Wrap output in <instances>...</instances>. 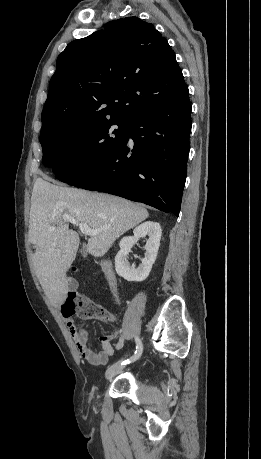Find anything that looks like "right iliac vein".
<instances>
[{"mask_svg": "<svg viewBox=\"0 0 261 459\" xmlns=\"http://www.w3.org/2000/svg\"><path fill=\"white\" fill-rule=\"evenodd\" d=\"M124 367H125V365H122L120 363H116L113 366L109 367L107 369L106 373H105L106 379L113 378L115 375L120 373L123 370Z\"/></svg>", "mask_w": 261, "mask_h": 459, "instance_id": "right-iliac-vein-1", "label": "right iliac vein"}]
</instances>
